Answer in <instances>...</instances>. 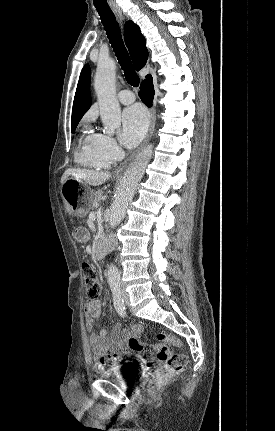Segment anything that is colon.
Instances as JSON below:
<instances>
[{
    "mask_svg": "<svg viewBox=\"0 0 275 431\" xmlns=\"http://www.w3.org/2000/svg\"><path fill=\"white\" fill-rule=\"evenodd\" d=\"M82 270L89 295L91 297L97 296L101 290L99 271L91 263H83ZM157 339L174 346L181 345L179 339L166 333H159ZM126 343L128 349L133 353L139 354L145 361L147 370L153 373V379L149 384V389L151 390L159 389L174 373L183 370L187 366L188 359L185 354L173 352L166 346L157 345L154 347L158 353V360H156L152 351L134 335H130ZM113 358L111 355L99 356V368L109 366L113 362ZM159 362H165V365L161 367Z\"/></svg>",
    "mask_w": 275,
    "mask_h": 431,
    "instance_id": "1",
    "label": "colon"
}]
</instances>
